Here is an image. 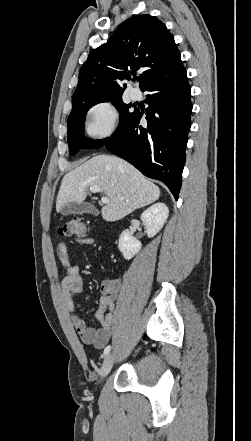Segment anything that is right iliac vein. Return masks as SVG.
Instances as JSON below:
<instances>
[{
    "label": "right iliac vein",
    "instance_id": "1",
    "mask_svg": "<svg viewBox=\"0 0 251 441\" xmlns=\"http://www.w3.org/2000/svg\"><path fill=\"white\" fill-rule=\"evenodd\" d=\"M114 362H115V357L113 354H107L105 356V359L103 361V364H102L100 372H99L101 380L104 379L108 375Z\"/></svg>",
    "mask_w": 251,
    "mask_h": 441
}]
</instances>
